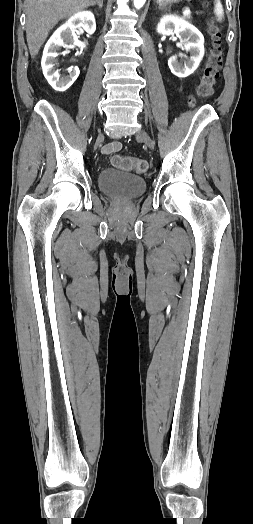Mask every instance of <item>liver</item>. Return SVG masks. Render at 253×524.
Listing matches in <instances>:
<instances>
[{
  "mask_svg": "<svg viewBox=\"0 0 253 524\" xmlns=\"http://www.w3.org/2000/svg\"><path fill=\"white\" fill-rule=\"evenodd\" d=\"M97 0H26V37L34 58L49 31L62 19L86 9Z\"/></svg>",
  "mask_w": 253,
  "mask_h": 524,
  "instance_id": "1",
  "label": "liver"
}]
</instances>
